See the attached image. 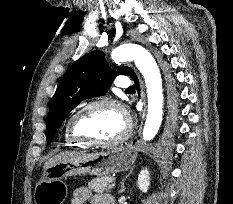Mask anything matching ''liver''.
I'll list each match as a JSON object with an SVG mask.
<instances>
[{
  "label": "liver",
  "instance_id": "1",
  "mask_svg": "<svg viewBox=\"0 0 233 204\" xmlns=\"http://www.w3.org/2000/svg\"><path fill=\"white\" fill-rule=\"evenodd\" d=\"M82 153L80 152H76V151H66L60 154L55 155L54 157H52L51 159H49L47 162H45L44 164V169L46 167H48L50 164H52L55 161L61 160V159H65L74 155H80Z\"/></svg>",
  "mask_w": 233,
  "mask_h": 204
}]
</instances>
